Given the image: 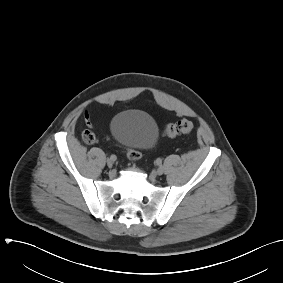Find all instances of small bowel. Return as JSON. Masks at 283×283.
<instances>
[{
  "label": "small bowel",
  "mask_w": 283,
  "mask_h": 283,
  "mask_svg": "<svg viewBox=\"0 0 283 283\" xmlns=\"http://www.w3.org/2000/svg\"><path fill=\"white\" fill-rule=\"evenodd\" d=\"M85 118H86V121L89 122V114H88V112H85Z\"/></svg>",
  "instance_id": "obj_1"
}]
</instances>
